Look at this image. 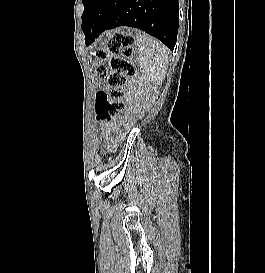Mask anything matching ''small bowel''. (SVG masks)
<instances>
[{
	"instance_id": "1",
	"label": "small bowel",
	"mask_w": 265,
	"mask_h": 273,
	"mask_svg": "<svg viewBox=\"0 0 265 273\" xmlns=\"http://www.w3.org/2000/svg\"><path fill=\"white\" fill-rule=\"evenodd\" d=\"M108 133H109V132H108ZM109 136H111V135H110V133H109ZM113 142H114V139L112 138V141H111V143H113Z\"/></svg>"
}]
</instances>
